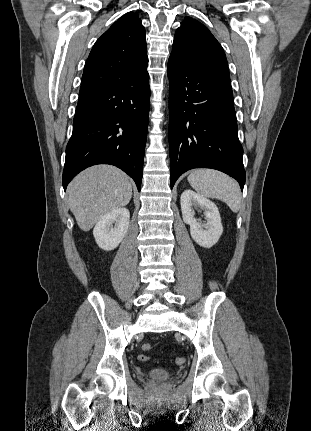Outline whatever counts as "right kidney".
Returning a JSON list of instances; mask_svg holds the SVG:
<instances>
[{
	"mask_svg": "<svg viewBox=\"0 0 311 431\" xmlns=\"http://www.w3.org/2000/svg\"><path fill=\"white\" fill-rule=\"evenodd\" d=\"M130 221V212L127 208H117L100 217L97 221L93 235L102 249H114L127 233Z\"/></svg>",
	"mask_w": 311,
	"mask_h": 431,
	"instance_id": "1",
	"label": "right kidney"
}]
</instances>
